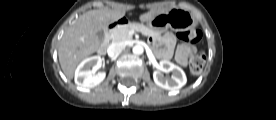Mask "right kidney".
Segmentation results:
<instances>
[{"label":"right kidney","mask_w":276,"mask_h":120,"mask_svg":"<svg viewBox=\"0 0 276 120\" xmlns=\"http://www.w3.org/2000/svg\"><path fill=\"white\" fill-rule=\"evenodd\" d=\"M101 62L100 56H92L84 59L75 71V83L83 89L93 88L105 79V72L96 73Z\"/></svg>","instance_id":"right-kidney-1"}]
</instances>
